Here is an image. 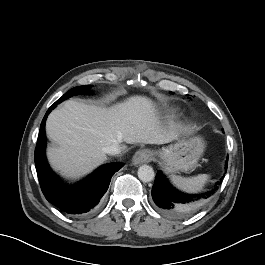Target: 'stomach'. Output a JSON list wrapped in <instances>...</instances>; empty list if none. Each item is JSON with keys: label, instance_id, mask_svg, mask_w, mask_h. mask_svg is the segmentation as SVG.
<instances>
[{"label": "stomach", "instance_id": "stomach-1", "mask_svg": "<svg viewBox=\"0 0 265 265\" xmlns=\"http://www.w3.org/2000/svg\"><path fill=\"white\" fill-rule=\"evenodd\" d=\"M204 148L201 137L179 139L159 153L161 165L168 173L191 172L198 166Z\"/></svg>", "mask_w": 265, "mask_h": 265}]
</instances>
